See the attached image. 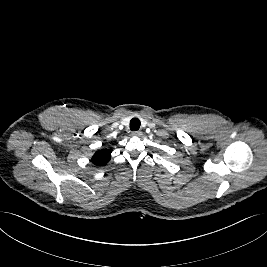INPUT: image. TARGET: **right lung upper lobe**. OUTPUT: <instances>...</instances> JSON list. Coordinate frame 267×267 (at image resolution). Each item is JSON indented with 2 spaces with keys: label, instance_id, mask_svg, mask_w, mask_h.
I'll list each match as a JSON object with an SVG mask.
<instances>
[{
  "label": "right lung upper lobe",
  "instance_id": "obj_1",
  "mask_svg": "<svg viewBox=\"0 0 267 267\" xmlns=\"http://www.w3.org/2000/svg\"><path fill=\"white\" fill-rule=\"evenodd\" d=\"M110 157H111L110 149L99 150L94 154L91 161L97 166H103L107 162H109Z\"/></svg>",
  "mask_w": 267,
  "mask_h": 267
}]
</instances>
